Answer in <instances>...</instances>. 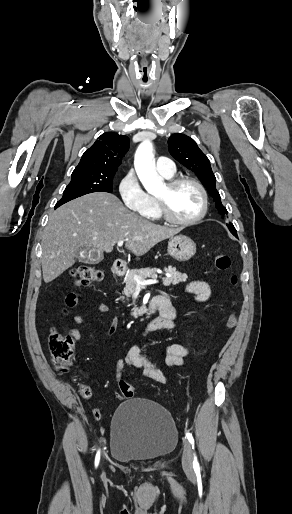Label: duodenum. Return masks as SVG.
I'll list each match as a JSON object with an SVG mask.
<instances>
[{
  "mask_svg": "<svg viewBox=\"0 0 292 514\" xmlns=\"http://www.w3.org/2000/svg\"><path fill=\"white\" fill-rule=\"evenodd\" d=\"M114 273L118 277H122L125 274V270L121 266H117L114 270ZM172 309V304L168 297L165 295H156L148 304L147 311L148 312H154V311H160V313L168 315L169 312ZM163 325L161 323L160 316L155 318L149 325L148 330L149 331H157L162 330Z\"/></svg>",
  "mask_w": 292,
  "mask_h": 514,
  "instance_id": "obj_1",
  "label": "duodenum"
}]
</instances>
